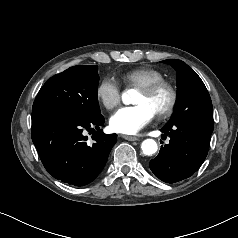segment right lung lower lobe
Masks as SVG:
<instances>
[{
    "instance_id": "1",
    "label": "right lung lower lobe",
    "mask_w": 238,
    "mask_h": 238,
    "mask_svg": "<svg viewBox=\"0 0 238 238\" xmlns=\"http://www.w3.org/2000/svg\"><path fill=\"white\" fill-rule=\"evenodd\" d=\"M102 115L85 119L61 113H33L31 135L46 170L75 186L92 182L103 169L116 143V134H104ZM97 130L87 142L85 130Z\"/></svg>"
}]
</instances>
